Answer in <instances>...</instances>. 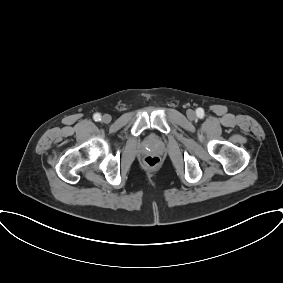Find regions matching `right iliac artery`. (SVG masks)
<instances>
[{
  "label": "right iliac artery",
  "mask_w": 283,
  "mask_h": 283,
  "mask_svg": "<svg viewBox=\"0 0 283 283\" xmlns=\"http://www.w3.org/2000/svg\"><path fill=\"white\" fill-rule=\"evenodd\" d=\"M93 119L95 121H100L101 120V115L99 113L94 114Z\"/></svg>",
  "instance_id": "1"
}]
</instances>
